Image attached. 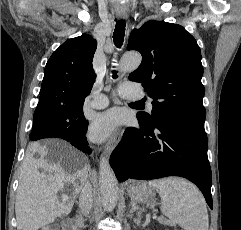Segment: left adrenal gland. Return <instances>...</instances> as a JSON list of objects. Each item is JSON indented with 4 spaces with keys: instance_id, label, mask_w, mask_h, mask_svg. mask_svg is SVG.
<instances>
[{
    "instance_id": "a2214340",
    "label": "left adrenal gland",
    "mask_w": 241,
    "mask_h": 230,
    "mask_svg": "<svg viewBox=\"0 0 241 230\" xmlns=\"http://www.w3.org/2000/svg\"><path fill=\"white\" fill-rule=\"evenodd\" d=\"M130 206H131V210H130V212H129V217H132V216H133V213L139 210V206L136 205V203H134V202H131V203H130ZM136 215H137V218L134 219V222H135L136 224H139V222H140V221H139V220H140V212H137Z\"/></svg>"
}]
</instances>
